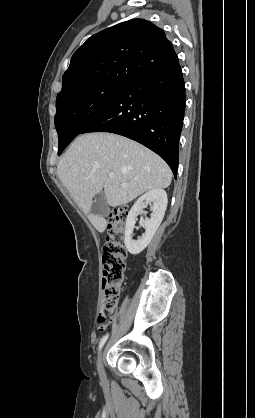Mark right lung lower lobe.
<instances>
[{"label":"right lung lower lobe","instance_id":"1","mask_svg":"<svg viewBox=\"0 0 255 418\" xmlns=\"http://www.w3.org/2000/svg\"><path fill=\"white\" fill-rule=\"evenodd\" d=\"M185 85L179 61L128 84L81 132H111L160 155L176 178Z\"/></svg>","mask_w":255,"mask_h":418}]
</instances>
